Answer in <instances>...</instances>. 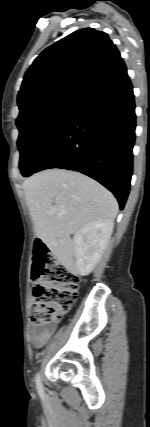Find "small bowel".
Listing matches in <instances>:
<instances>
[{"label": "small bowel", "mask_w": 150, "mask_h": 427, "mask_svg": "<svg viewBox=\"0 0 150 427\" xmlns=\"http://www.w3.org/2000/svg\"><path fill=\"white\" fill-rule=\"evenodd\" d=\"M52 331H53V328L51 327L41 328V327L33 326L29 330L30 342L35 347H40L47 342V340L50 338L52 334Z\"/></svg>", "instance_id": "1"}]
</instances>
